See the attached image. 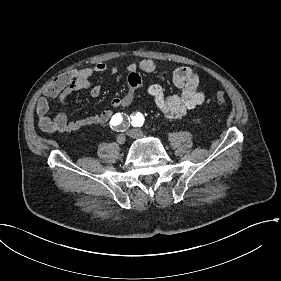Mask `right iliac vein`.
I'll return each instance as SVG.
<instances>
[{
  "label": "right iliac vein",
  "instance_id": "obj_1",
  "mask_svg": "<svg viewBox=\"0 0 281 281\" xmlns=\"http://www.w3.org/2000/svg\"><path fill=\"white\" fill-rule=\"evenodd\" d=\"M118 144L123 145L126 142V137L124 134H119L116 138Z\"/></svg>",
  "mask_w": 281,
  "mask_h": 281
}]
</instances>
